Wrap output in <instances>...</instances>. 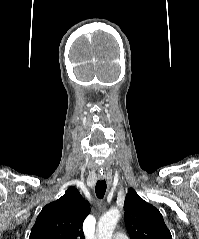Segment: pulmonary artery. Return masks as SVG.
<instances>
[{
	"instance_id": "e3ab8cb5",
	"label": "pulmonary artery",
	"mask_w": 199,
	"mask_h": 239,
	"mask_svg": "<svg viewBox=\"0 0 199 239\" xmlns=\"http://www.w3.org/2000/svg\"><path fill=\"white\" fill-rule=\"evenodd\" d=\"M113 239H128V236L122 232H117L114 234Z\"/></svg>"
}]
</instances>
